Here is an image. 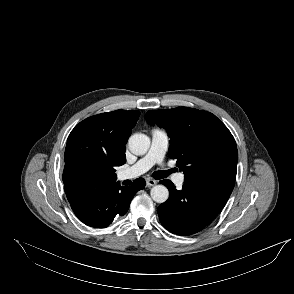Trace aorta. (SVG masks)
I'll use <instances>...</instances> for the list:
<instances>
[{
  "mask_svg": "<svg viewBox=\"0 0 294 294\" xmlns=\"http://www.w3.org/2000/svg\"><path fill=\"white\" fill-rule=\"evenodd\" d=\"M128 145L132 153L145 154L150 147V139L147 135L136 133L130 136ZM151 198L156 203H164L169 197V191L164 185H156L150 191Z\"/></svg>",
  "mask_w": 294,
  "mask_h": 294,
  "instance_id": "obj_1",
  "label": "aorta"
}]
</instances>
